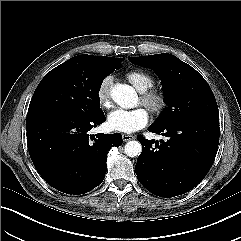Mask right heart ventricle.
<instances>
[{"label": "right heart ventricle", "mask_w": 241, "mask_h": 241, "mask_svg": "<svg viewBox=\"0 0 241 241\" xmlns=\"http://www.w3.org/2000/svg\"><path fill=\"white\" fill-rule=\"evenodd\" d=\"M127 81L139 92H145L154 85V78L142 70H131L125 74Z\"/></svg>", "instance_id": "right-heart-ventricle-1"}]
</instances>
